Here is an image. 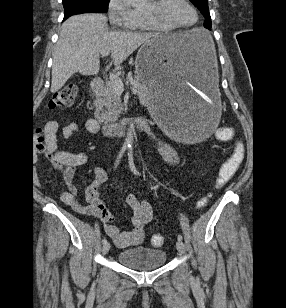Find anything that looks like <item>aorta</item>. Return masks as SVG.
Listing matches in <instances>:
<instances>
[{
    "instance_id": "aorta-1",
    "label": "aorta",
    "mask_w": 286,
    "mask_h": 308,
    "mask_svg": "<svg viewBox=\"0 0 286 308\" xmlns=\"http://www.w3.org/2000/svg\"><path fill=\"white\" fill-rule=\"evenodd\" d=\"M123 1L128 3V4H139V3H144L147 0H123ZM133 136H134V127H133V124H131L128 128V132H127V135H126L125 145H127V146L132 145Z\"/></svg>"
}]
</instances>
